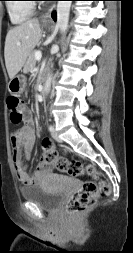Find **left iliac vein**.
Returning a JSON list of instances; mask_svg holds the SVG:
<instances>
[{"instance_id":"1","label":"left iliac vein","mask_w":133,"mask_h":253,"mask_svg":"<svg viewBox=\"0 0 133 253\" xmlns=\"http://www.w3.org/2000/svg\"><path fill=\"white\" fill-rule=\"evenodd\" d=\"M52 137H53L56 141L61 142V139L59 138L58 133L56 132L55 129L52 131Z\"/></svg>"}]
</instances>
